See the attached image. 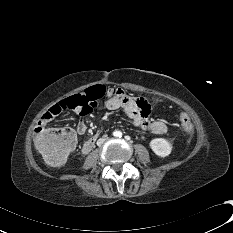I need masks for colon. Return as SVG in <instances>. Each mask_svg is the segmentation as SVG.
I'll return each instance as SVG.
<instances>
[{"instance_id": "5ec220e1", "label": "colon", "mask_w": 233, "mask_h": 233, "mask_svg": "<svg viewBox=\"0 0 233 233\" xmlns=\"http://www.w3.org/2000/svg\"><path fill=\"white\" fill-rule=\"evenodd\" d=\"M110 88L97 84L87 88L84 92L75 94L63 101L64 110L73 109L89 112ZM176 117L181 123L185 134L191 135L194 126L189 114L183 110L177 112ZM34 143L44 161L53 167L62 165L74 148V135L70 129H37Z\"/></svg>"}]
</instances>
